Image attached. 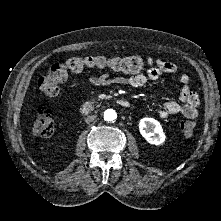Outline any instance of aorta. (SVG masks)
I'll use <instances>...</instances> for the list:
<instances>
[{"instance_id":"762f6f07","label":"aorta","mask_w":221,"mask_h":221,"mask_svg":"<svg viewBox=\"0 0 221 221\" xmlns=\"http://www.w3.org/2000/svg\"><path fill=\"white\" fill-rule=\"evenodd\" d=\"M117 118V113L113 109H107L104 112V120L112 122Z\"/></svg>"}]
</instances>
